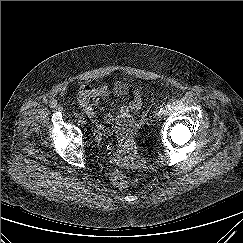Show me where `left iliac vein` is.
Here are the masks:
<instances>
[{"label": "left iliac vein", "instance_id": "left-iliac-vein-1", "mask_svg": "<svg viewBox=\"0 0 243 243\" xmlns=\"http://www.w3.org/2000/svg\"><path fill=\"white\" fill-rule=\"evenodd\" d=\"M154 117H155L156 119H159V118L161 117V114H160L159 112H155Z\"/></svg>", "mask_w": 243, "mask_h": 243}]
</instances>
